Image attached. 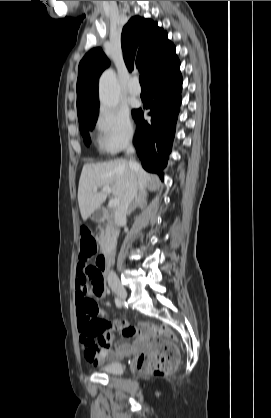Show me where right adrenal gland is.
Instances as JSON below:
<instances>
[{
	"label": "right adrenal gland",
	"instance_id": "right-adrenal-gland-1",
	"mask_svg": "<svg viewBox=\"0 0 271 418\" xmlns=\"http://www.w3.org/2000/svg\"><path fill=\"white\" fill-rule=\"evenodd\" d=\"M147 204L146 201V197L144 195V193H139V195L136 197L133 205L131 206V208L128 211V215H130L136 208H144L145 205Z\"/></svg>",
	"mask_w": 271,
	"mask_h": 418
}]
</instances>
